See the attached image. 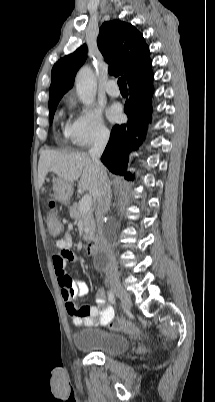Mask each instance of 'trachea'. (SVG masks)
<instances>
[{
	"label": "trachea",
	"mask_w": 215,
	"mask_h": 402,
	"mask_svg": "<svg viewBox=\"0 0 215 402\" xmlns=\"http://www.w3.org/2000/svg\"><path fill=\"white\" fill-rule=\"evenodd\" d=\"M118 85L120 89H127L126 78L124 76L118 79Z\"/></svg>",
	"instance_id": "trachea-1"
}]
</instances>
